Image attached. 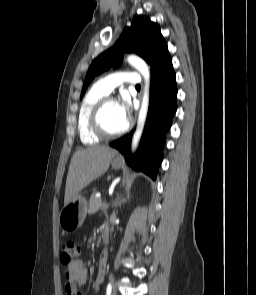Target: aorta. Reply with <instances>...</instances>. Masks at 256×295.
I'll list each match as a JSON object with an SVG mask.
<instances>
[{
    "label": "aorta",
    "mask_w": 256,
    "mask_h": 295,
    "mask_svg": "<svg viewBox=\"0 0 256 295\" xmlns=\"http://www.w3.org/2000/svg\"><path fill=\"white\" fill-rule=\"evenodd\" d=\"M127 61L130 65H132L134 68H136L141 75L144 78V91H143V97H142V102H141V108L138 114V119H137V127H136V132L133 136L132 140V148L133 150L137 147L138 142L140 140V137L142 135L146 117H147V112H148V106H149V83H150V70L145 63L144 60L141 58L131 55L127 58Z\"/></svg>",
    "instance_id": "aorta-1"
}]
</instances>
